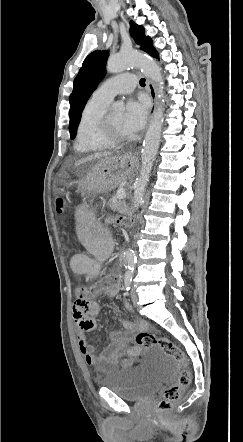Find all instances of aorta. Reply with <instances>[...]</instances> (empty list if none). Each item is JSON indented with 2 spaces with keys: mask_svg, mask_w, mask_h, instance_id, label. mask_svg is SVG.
I'll list each match as a JSON object with an SVG mask.
<instances>
[{
  "mask_svg": "<svg viewBox=\"0 0 243 442\" xmlns=\"http://www.w3.org/2000/svg\"><path fill=\"white\" fill-rule=\"evenodd\" d=\"M106 68L109 73H119L128 68H139L145 76L149 77L155 83L158 98H163L164 80L161 68L155 60L147 55L135 51L120 53L108 59ZM114 108L121 110L124 108V105L122 102H117L114 104ZM163 111V105L160 103L143 141L140 175L134 184L132 199L133 206L136 209L139 208L144 198L146 186L159 148L163 125ZM123 259L128 266V272L132 273L136 259L134 251L127 249L123 254Z\"/></svg>",
  "mask_w": 243,
  "mask_h": 442,
  "instance_id": "aorta-1",
  "label": "aorta"
}]
</instances>
